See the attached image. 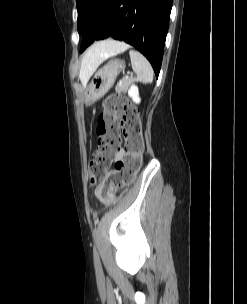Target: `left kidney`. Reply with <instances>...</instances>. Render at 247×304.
<instances>
[{
    "mask_svg": "<svg viewBox=\"0 0 247 304\" xmlns=\"http://www.w3.org/2000/svg\"><path fill=\"white\" fill-rule=\"evenodd\" d=\"M129 97L132 98L133 102L136 104L140 103L141 99L139 97V90L136 85H132L128 90Z\"/></svg>",
    "mask_w": 247,
    "mask_h": 304,
    "instance_id": "1",
    "label": "left kidney"
}]
</instances>
